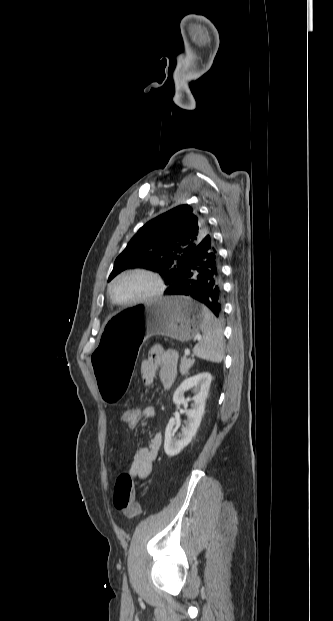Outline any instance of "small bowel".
I'll return each instance as SVG.
<instances>
[{
    "label": "small bowel",
    "instance_id": "small-bowel-1",
    "mask_svg": "<svg viewBox=\"0 0 333 621\" xmlns=\"http://www.w3.org/2000/svg\"><path fill=\"white\" fill-rule=\"evenodd\" d=\"M178 355L172 349L154 346L150 349L148 357L141 365V376L145 384H151L156 373L161 385L170 388L177 376ZM155 413L153 407L142 410V417H152ZM162 436L160 433L153 435L149 446L140 447L134 454L129 469V474L134 479L143 480L150 476L155 458L160 448Z\"/></svg>",
    "mask_w": 333,
    "mask_h": 621
}]
</instances>
